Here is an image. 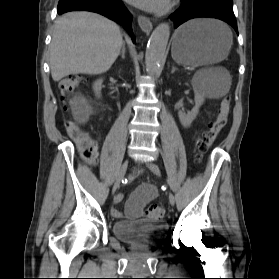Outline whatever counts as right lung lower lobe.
Instances as JSON below:
<instances>
[{
    "instance_id": "1",
    "label": "right lung lower lobe",
    "mask_w": 279,
    "mask_h": 279,
    "mask_svg": "<svg viewBox=\"0 0 279 279\" xmlns=\"http://www.w3.org/2000/svg\"><path fill=\"white\" fill-rule=\"evenodd\" d=\"M75 10L92 11L115 20L123 24L135 40L131 29L132 16L121 0H59L58 14Z\"/></svg>"
}]
</instances>
